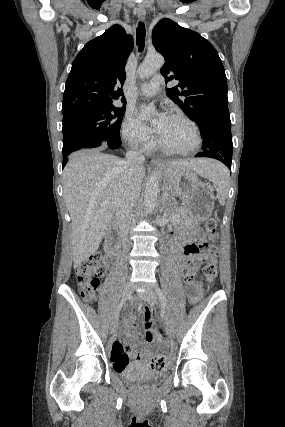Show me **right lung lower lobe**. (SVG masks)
<instances>
[{"mask_svg": "<svg viewBox=\"0 0 285 427\" xmlns=\"http://www.w3.org/2000/svg\"><path fill=\"white\" fill-rule=\"evenodd\" d=\"M77 154V153H76ZM76 154L70 155L68 157L63 158V164L62 167H64L66 165V163L72 158L74 157Z\"/></svg>", "mask_w": 285, "mask_h": 427, "instance_id": "1", "label": "right lung lower lobe"}]
</instances>
